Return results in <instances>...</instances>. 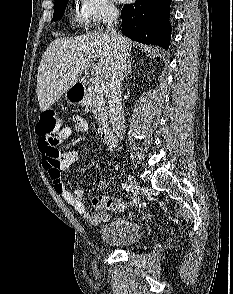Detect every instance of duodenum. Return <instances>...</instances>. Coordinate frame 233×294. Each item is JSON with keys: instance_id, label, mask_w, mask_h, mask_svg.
<instances>
[{"instance_id": "duodenum-1", "label": "duodenum", "mask_w": 233, "mask_h": 294, "mask_svg": "<svg viewBox=\"0 0 233 294\" xmlns=\"http://www.w3.org/2000/svg\"><path fill=\"white\" fill-rule=\"evenodd\" d=\"M84 92V87L81 84H77L74 86V94L78 97L82 96ZM102 140L105 144H107L110 147H114L116 145V138L113 134V132L108 129L104 128L101 132Z\"/></svg>"}]
</instances>
